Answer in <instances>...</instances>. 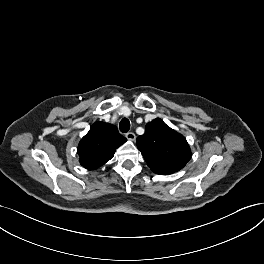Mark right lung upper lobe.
<instances>
[{
    "instance_id": "cb5924a9",
    "label": "right lung upper lobe",
    "mask_w": 264,
    "mask_h": 264,
    "mask_svg": "<svg viewBox=\"0 0 264 264\" xmlns=\"http://www.w3.org/2000/svg\"><path fill=\"white\" fill-rule=\"evenodd\" d=\"M116 126L96 122L78 145V155L83 167L94 170L114 156L115 150L126 142Z\"/></svg>"
}]
</instances>
